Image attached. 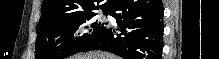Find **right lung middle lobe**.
<instances>
[{
	"label": "right lung middle lobe",
	"instance_id": "right-lung-middle-lobe-1",
	"mask_svg": "<svg viewBox=\"0 0 219 59\" xmlns=\"http://www.w3.org/2000/svg\"><path fill=\"white\" fill-rule=\"evenodd\" d=\"M103 13L109 15V11ZM95 15L62 18L37 27L35 59H64L80 52L107 29L104 23L93 22Z\"/></svg>",
	"mask_w": 219,
	"mask_h": 59
}]
</instances>
